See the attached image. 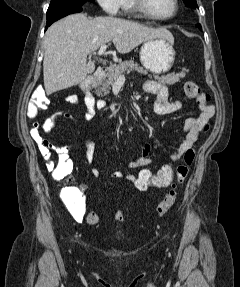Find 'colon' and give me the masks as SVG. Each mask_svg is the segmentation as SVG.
Wrapping results in <instances>:
<instances>
[{"instance_id":"colon-1","label":"colon","mask_w":240,"mask_h":287,"mask_svg":"<svg viewBox=\"0 0 240 287\" xmlns=\"http://www.w3.org/2000/svg\"><path fill=\"white\" fill-rule=\"evenodd\" d=\"M184 92L187 97L194 99L197 103H207L209 101L208 94L204 93L200 87L193 81H186L184 84ZM49 100L43 91L36 93L30 100L31 106L37 109H45ZM37 126V124H35ZM208 129V126L205 127ZM195 157V149L190 148L183 154L182 162L173 166L171 164L163 165L157 171H151L147 168L141 169L138 174L134 175V186L140 191H146L149 188H168L162 200L158 203L155 212L157 216H164L174 205L177 196V188L186 180L190 166ZM181 159V158H180ZM176 160L173 162L180 161ZM72 165L65 159L59 158L53 166V177L62 180L71 172ZM116 221H123L125 212L117 210L114 216ZM98 215L94 211H89L86 215V221L89 224L98 223Z\"/></svg>"}]
</instances>
